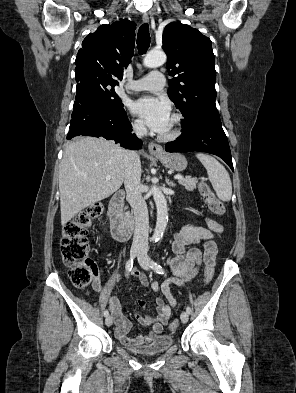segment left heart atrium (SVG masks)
<instances>
[{
    "label": "left heart atrium",
    "mask_w": 296,
    "mask_h": 393,
    "mask_svg": "<svg viewBox=\"0 0 296 393\" xmlns=\"http://www.w3.org/2000/svg\"><path fill=\"white\" fill-rule=\"evenodd\" d=\"M131 111L139 116L151 130L158 133L166 128L171 117L169 104L151 96H144L134 101Z\"/></svg>",
    "instance_id": "39dd6f15"
}]
</instances>
